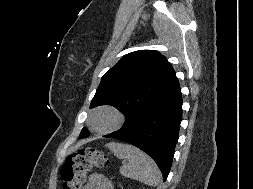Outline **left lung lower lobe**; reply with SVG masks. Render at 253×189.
<instances>
[{
    "mask_svg": "<svg viewBox=\"0 0 253 189\" xmlns=\"http://www.w3.org/2000/svg\"><path fill=\"white\" fill-rule=\"evenodd\" d=\"M182 120V95L179 82L157 100L125 122L123 127L105 137L130 143L150 155L166 181L172 165ZM89 133L79 137H87Z\"/></svg>",
    "mask_w": 253,
    "mask_h": 189,
    "instance_id": "1",
    "label": "left lung lower lobe"
}]
</instances>
